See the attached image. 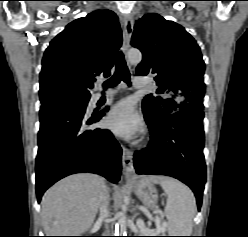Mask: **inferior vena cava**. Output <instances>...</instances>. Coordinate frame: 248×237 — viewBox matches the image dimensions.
I'll return each instance as SVG.
<instances>
[{
	"instance_id": "1",
	"label": "inferior vena cava",
	"mask_w": 248,
	"mask_h": 237,
	"mask_svg": "<svg viewBox=\"0 0 248 237\" xmlns=\"http://www.w3.org/2000/svg\"><path fill=\"white\" fill-rule=\"evenodd\" d=\"M109 192L108 188L106 187L105 184L102 185L100 196H99V209H100V220H106L110 216V211H109ZM110 231L107 230L104 234V236H109Z\"/></svg>"
}]
</instances>
